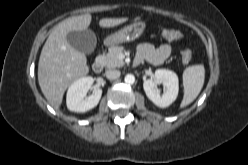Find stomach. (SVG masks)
<instances>
[{
    "instance_id": "obj_1",
    "label": "stomach",
    "mask_w": 248,
    "mask_h": 165,
    "mask_svg": "<svg viewBox=\"0 0 248 165\" xmlns=\"http://www.w3.org/2000/svg\"><path fill=\"white\" fill-rule=\"evenodd\" d=\"M146 28V24L143 21H135L130 25H127L117 32L109 35L105 39L106 45H116L125 42L134 41L139 38Z\"/></svg>"
}]
</instances>
